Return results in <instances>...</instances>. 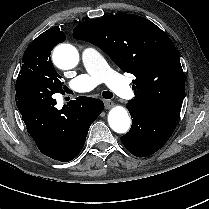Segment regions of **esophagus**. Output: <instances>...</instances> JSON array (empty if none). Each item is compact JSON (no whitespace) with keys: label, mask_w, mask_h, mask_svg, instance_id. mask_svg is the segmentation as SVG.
Masks as SVG:
<instances>
[{"label":"esophagus","mask_w":209,"mask_h":209,"mask_svg":"<svg viewBox=\"0 0 209 209\" xmlns=\"http://www.w3.org/2000/svg\"><path fill=\"white\" fill-rule=\"evenodd\" d=\"M104 104H105L106 109H109V108L113 107V105H114V103L110 100H105Z\"/></svg>","instance_id":"34e87169"}]
</instances>
